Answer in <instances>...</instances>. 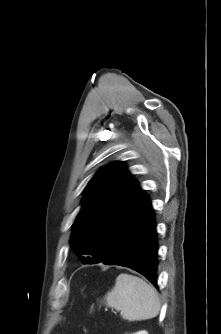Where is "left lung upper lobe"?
Instances as JSON below:
<instances>
[{
	"mask_svg": "<svg viewBox=\"0 0 221 334\" xmlns=\"http://www.w3.org/2000/svg\"><path fill=\"white\" fill-rule=\"evenodd\" d=\"M138 189L123 162L103 167L85 188L82 209L74 222L70 244L82 263L95 260L96 246Z\"/></svg>",
	"mask_w": 221,
	"mask_h": 334,
	"instance_id": "5c2ea615",
	"label": "left lung upper lobe"
}]
</instances>
